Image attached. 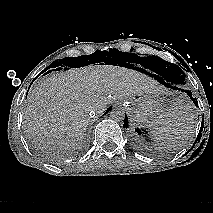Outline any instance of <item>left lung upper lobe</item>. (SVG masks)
Instances as JSON below:
<instances>
[{
    "label": "left lung upper lobe",
    "instance_id": "5c2ea615",
    "mask_svg": "<svg viewBox=\"0 0 213 213\" xmlns=\"http://www.w3.org/2000/svg\"><path fill=\"white\" fill-rule=\"evenodd\" d=\"M143 59L147 60L148 63L151 65V67L149 68L164 73L172 80L175 85H184L186 83L185 74L179 66L169 63L154 55L148 56Z\"/></svg>",
    "mask_w": 213,
    "mask_h": 213
}]
</instances>
